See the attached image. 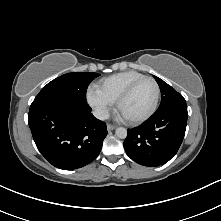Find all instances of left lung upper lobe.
<instances>
[{"label":"left lung upper lobe","instance_id":"obj_1","mask_svg":"<svg viewBox=\"0 0 221 221\" xmlns=\"http://www.w3.org/2000/svg\"><path fill=\"white\" fill-rule=\"evenodd\" d=\"M154 78L157 81L161 91V103L158 111L171 106L186 104L184 97L175 91L170 85L156 76H154Z\"/></svg>","mask_w":221,"mask_h":221}]
</instances>
